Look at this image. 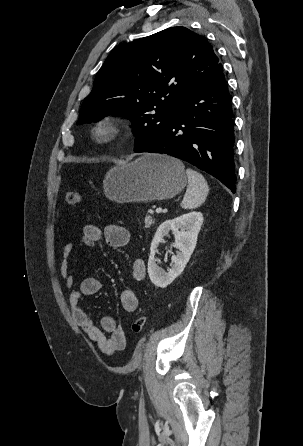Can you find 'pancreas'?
<instances>
[{"instance_id": "1", "label": "pancreas", "mask_w": 303, "mask_h": 446, "mask_svg": "<svg viewBox=\"0 0 303 446\" xmlns=\"http://www.w3.org/2000/svg\"><path fill=\"white\" fill-rule=\"evenodd\" d=\"M154 224V219L151 217V216H149V215H147L146 217H145V221H144V226H145V228H150L152 225Z\"/></svg>"}]
</instances>
